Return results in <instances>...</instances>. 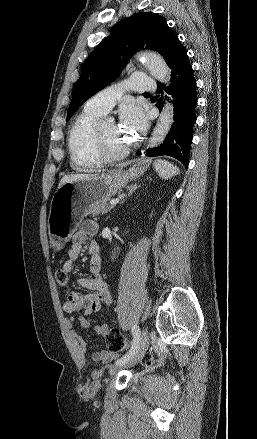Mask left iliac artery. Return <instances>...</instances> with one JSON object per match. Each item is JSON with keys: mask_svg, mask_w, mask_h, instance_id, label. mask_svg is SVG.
<instances>
[{"mask_svg": "<svg viewBox=\"0 0 257 439\" xmlns=\"http://www.w3.org/2000/svg\"><path fill=\"white\" fill-rule=\"evenodd\" d=\"M132 335L133 342L130 350L121 359L117 360L116 364L127 361L129 357L135 352L140 340V329L136 324L132 326Z\"/></svg>", "mask_w": 257, "mask_h": 439, "instance_id": "44dca946", "label": "left iliac artery"}]
</instances>
